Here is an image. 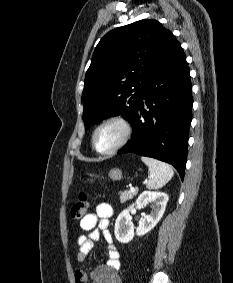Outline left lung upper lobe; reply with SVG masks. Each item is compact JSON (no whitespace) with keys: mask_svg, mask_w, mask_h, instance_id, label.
Wrapping results in <instances>:
<instances>
[{"mask_svg":"<svg viewBox=\"0 0 233 283\" xmlns=\"http://www.w3.org/2000/svg\"><path fill=\"white\" fill-rule=\"evenodd\" d=\"M176 43L174 35L156 20H140L102 37L82 93L85 129L119 114L131 121L146 82Z\"/></svg>","mask_w":233,"mask_h":283,"instance_id":"left-lung-upper-lobe-1","label":"left lung upper lobe"}]
</instances>
